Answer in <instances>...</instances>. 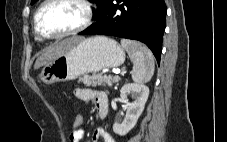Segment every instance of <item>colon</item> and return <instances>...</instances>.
<instances>
[{
	"mask_svg": "<svg viewBox=\"0 0 227 142\" xmlns=\"http://www.w3.org/2000/svg\"><path fill=\"white\" fill-rule=\"evenodd\" d=\"M84 128V119L82 115L76 112L73 116V130L72 132H78Z\"/></svg>",
	"mask_w": 227,
	"mask_h": 142,
	"instance_id": "obj_1",
	"label": "colon"
}]
</instances>
